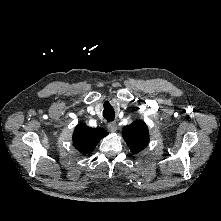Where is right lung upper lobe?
I'll list each match as a JSON object with an SVG mask.
<instances>
[{"mask_svg":"<svg viewBox=\"0 0 221 221\" xmlns=\"http://www.w3.org/2000/svg\"><path fill=\"white\" fill-rule=\"evenodd\" d=\"M107 134L108 132L102 128H90L81 123L74 130L73 143L82 154L91 153L98 142Z\"/></svg>","mask_w":221,"mask_h":221,"instance_id":"1","label":"right lung upper lobe"}]
</instances>
